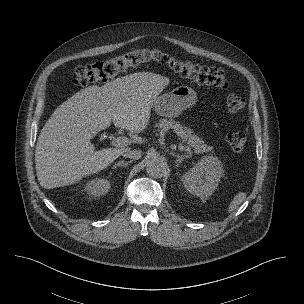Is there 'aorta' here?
<instances>
[{
    "label": "aorta",
    "mask_w": 304,
    "mask_h": 304,
    "mask_svg": "<svg viewBox=\"0 0 304 304\" xmlns=\"http://www.w3.org/2000/svg\"><path fill=\"white\" fill-rule=\"evenodd\" d=\"M166 162L158 157H153L148 160L146 171L147 173L154 178H160L166 171Z\"/></svg>",
    "instance_id": "obj_1"
}]
</instances>
